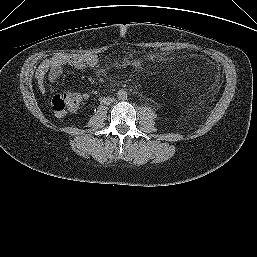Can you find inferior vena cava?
<instances>
[{
    "label": "inferior vena cava",
    "instance_id": "602c4592",
    "mask_svg": "<svg viewBox=\"0 0 257 257\" xmlns=\"http://www.w3.org/2000/svg\"><path fill=\"white\" fill-rule=\"evenodd\" d=\"M113 101H114V98H104L103 99V103H105V104H110Z\"/></svg>",
    "mask_w": 257,
    "mask_h": 257
}]
</instances>
